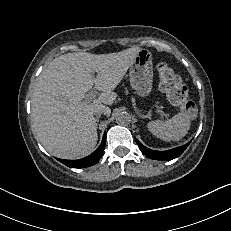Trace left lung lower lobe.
<instances>
[{
	"label": "left lung lower lobe",
	"mask_w": 231,
	"mask_h": 231,
	"mask_svg": "<svg viewBox=\"0 0 231 231\" xmlns=\"http://www.w3.org/2000/svg\"><path fill=\"white\" fill-rule=\"evenodd\" d=\"M136 143L138 144L140 150L142 151L143 154H145L148 158L151 159H155V160H171L174 159L178 156H180L184 150L187 148V146L190 144V142H188L187 144L171 149V150H167V151H155V150H151L145 146H143L139 140L137 138H135Z\"/></svg>",
	"instance_id": "left-lung-lower-lobe-1"
}]
</instances>
